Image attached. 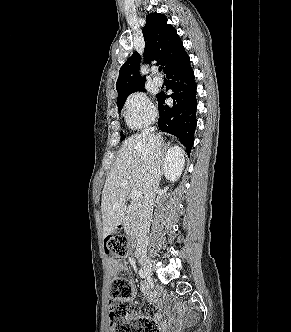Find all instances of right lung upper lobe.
I'll use <instances>...</instances> for the list:
<instances>
[{
  "label": "right lung upper lobe",
  "instance_id": "1",
  "mask_svg": "<svg viewBox=\"0 0 291 332\" xmlns=\"http://www.w3.org/2000/svg\"><path fill=\"white\" fill-rule=\"evenodd\" d=\"M142 32L146 42L145 62L159 60L165 73L188 56L175 28L167 24L163 14H149ZM140 61L141 56L135 51L120 68L116 82L117 101L144 86L145 79L139 72Z\"/></svg>",
  "mask_w": 291,
  "mask_h": 332
}]
</instances>
